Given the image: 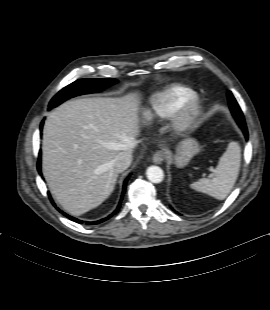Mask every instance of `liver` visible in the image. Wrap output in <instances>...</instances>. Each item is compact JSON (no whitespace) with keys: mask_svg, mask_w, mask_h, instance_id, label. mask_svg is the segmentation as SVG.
Segmentation results:
<instances>
[{"mask_svg":"<svg viewBox=\"0 0 270 310\" xmlns=\"http://www.w3.org/2000/svg\"><path fill=\"white\" fill-rule=\"evenodd\" d=\"M139 97L69 100L49 113L43 130V175L71 215L98 207L113 192L114 159L139 135Z\"/></svg>","mask_w":270,"mask_h":310,"instance_id":"1","label":"liver"}]
</instances>
